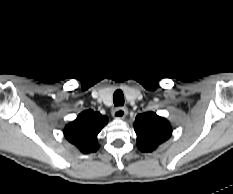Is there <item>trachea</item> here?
<instances>
[{
    "mask_svg": "<svg viewBox=\"0 0 233 194\" xmlns=\"http://www.w3.org/2000/svg\"><path fill=\"white\" fill-rule=\"evenodd\" d=\"M113 102L116 107L124 105V95L121 90L115 91L114 96H113Z\"/></svg>",
    "mask_w": 233,
    "mask_h": 194,
    "instance_id": "3493384b",
    "label": "trachea"
}]
</instances>
